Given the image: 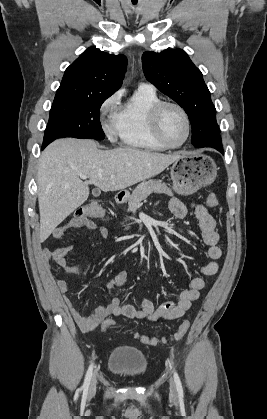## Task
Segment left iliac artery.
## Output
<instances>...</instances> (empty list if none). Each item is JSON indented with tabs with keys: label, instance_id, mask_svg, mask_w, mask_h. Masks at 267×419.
I'll return each mask as SVG.
<instances>
[{
	"label": "left iliac artery",
	"instance_id": "left-iliac-artery-1",
	"mask_svg": "<svg viewBox=\"0 0 267 419\" xmlns=\"http://www.w3.org/2000/svg\"><path fill=\"white\" fill-rule=\"evenodd\" d=\"M173 377H174V381H175V385H176L178 395L180 397H182L183 396L182 383H181V380H180V378L178 376V373L176 371L173 372Z\"/></svg>",
	"mask_w": 267,
	"mask_h": 419
}]
</instances>
